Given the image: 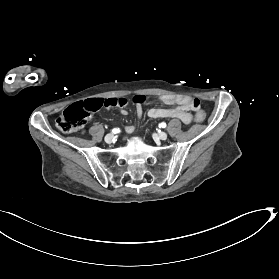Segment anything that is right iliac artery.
Masks as SVG:
<instances>
[{
    "label": "right iliac artery",
    "instance_id": "82829eb1",
    "mask_svg": "<svg viewBox=\"0 0 279 279\" xmlns=\"http://www.w3.org/2000/svg\"><path fill=\"white\" fill-rule=\"evenodd\" d=\"M119 132H120V130L116 129V128L112 130V133H114V134L119 133Z\"/></svg>",
    "mask_w": 279,
    "mask_h": 279
}]
</instances>
